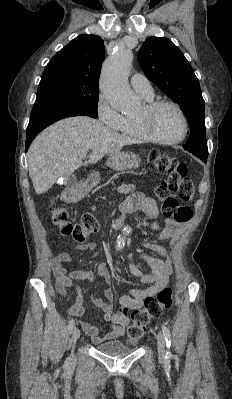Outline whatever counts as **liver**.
Listing matches in <instances>:
<instances>
[{"instance_id":"obj_1","label":"liver","mask_w":232,"mask_h":399,"mask_svg":"<svg viewBox=\"0 0 232 399\" xmlns=\"http://www.w3.org/2000/svg\"><path fill=\"white\" fill-rule=\"evenodd\" d=\"M138 144L129 136L109 130L102 122L78 116L66 118L43 130L32 142L27 158L29 176L36 194H44L58 178L70 176L80 166L97 164L105 154H116L123 146ZM92 150L88 162L79 158Z\"/></svg>"}]
</instances>
